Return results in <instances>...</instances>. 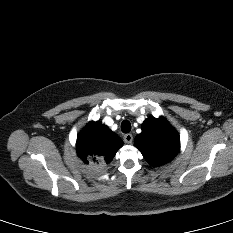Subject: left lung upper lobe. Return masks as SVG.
I'll use <instances>...</instances> for the list:
<instances>
[{
	"mask_svg": "<svg viewBox=\"0 0 233 233\" xmlns=\"http://www.w3.org/2000/svg\"><path fill=\"white\" fill-rule=\"evenodd\" d=\"M135 145L147 162L161 166L170 162L179 152L180 139L176 130L163 118L150 117L142 124V132Z\"/></svg>",
	"mask_w": 233,
	"mask_h": 233,
	"instance_id": "left-lung-upper-lobe-1",
	"label": "left lung upper lobe"
}]
</instances>
